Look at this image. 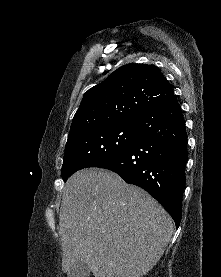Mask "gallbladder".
Returning a JSON list of instances; mask_svg holds the SVG:
<instances>
[{
    "label": "gallbladder",
    "mask_w": 221,
    "mask_h": 277,
    "mask_svg": "<svg viewBox=\"0 0 221 277\" xmlns=\"http://www.w3.org/2000/svg\"><path fill=\"white\" fill-rule=\"evenodd\" d=\"M91 270L89 266L83 262L75 263L67 272L68 277H89Z\"/></svg>",
    "instance_id": "1"
}]
</instances>
